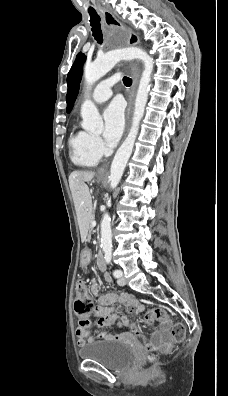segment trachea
<instances>
[{"label":"trachea","mask_w":228,"mask_h":396,"mask_svg":"<svg viewBox=\"0 0 228 396\" xmlns=\"http://www.w3.org/2000/svg\"><path fill=\"white\" fill-rule=\"evenodd\" d=\"M89 15H90V24L92 27L91 28L92 34H93L95 40L99 44H102L103 43V34H102L101 27H100V17L95 10H90ZM123 83L125 86H130L132 84V79L129 77H123Z\"/></svg>","instance_id":"3493384b"}]
</instances>
